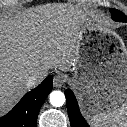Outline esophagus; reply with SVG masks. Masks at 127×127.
<instances>
[{
    "label": "esophagus",
    "mask_w": 127,
    "mask_h": 127,
    "mask_svg": "<svg viewBox=\"0 0 127 127\" xmlns=\"http://www.w3.org/2000/svg\"><path fill=\"white\" fill-rule=\"evenodd\" d=\"M65 82H66V76L61 73L57 74L53 80V84L56 88L62 87Z\"/></svg>",
    "instance_id": "1"
}]
</instances>
